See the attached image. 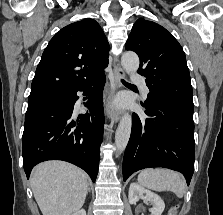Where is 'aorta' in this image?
I'll use <instances>...</instances> for the list:
<instances>
[{
    "label": "aorta",
    "mask_w": 223,
    "mask_h": 215,
    "mask_svg": "<svg viewBox=\"0 0 223 215\" xmlns=\"http://www.w3.org/2000/svg\"><path fill=\"white\" fill-rule=\"evenodd\" d=\"M121 64L127 74H132L133 72H137L139 68V58L135 52H125L121 56ZM131 125V115L124 113L115 133V145L119 151H123L129 141Z\"/></svg>",
    "instance_id": "762f6f07"
}]
</instances>
